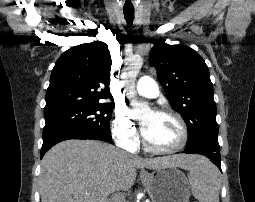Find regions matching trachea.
I'll use <instances>...</instances> for the list:
<instances>
[{"label":"trachea","instance_id":"3493384b","mask_svg":"<svg viewBox=\"0 0 255 202\" xmlns=\"http://www.w3.org/2000/svg\"><path fill=\"white\" fill-rule=\"evenodd\" d=\"M123 12H124V17L128 26H132V23L134 20V8H129V9L124 8Z\"/></svg>","mask_w":255,"mask_h":202}]
</instances>
